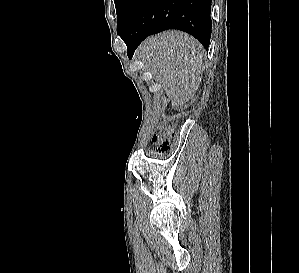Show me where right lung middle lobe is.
I'll list each match as a JSON object with an SVG mask.
<instances>
[{"label":"right lung middle lobe","mask_w":299,"mask_h":273,"mask_svg":"<svg viewBox=\"0 0 299 273\" xmlns=\"http://www.w3.org/2000/svg\"><path fill=\"white\" fill-rule=\"evenodd\" d=\"M134 0H114L117 13V33L119 34Z\"/></svg>","instance_id":"1"}]
</instances>
